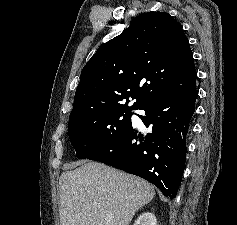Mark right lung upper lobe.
<instances>
[{
    "label": "right lung upper lobe",
    "instance_id": "cb5924a9",
    "mask_svg": "<svg viewBox=\"0 0 237 225\" xmlns=\"http://www.w3.org/2000/svg\"><path fill=\"white\" fill-rule=\"evenodd\" d=\"M196 78L182 26L168 13H144L84 66L69 124L109 111L131 112L158 91L188 87ZM129 98L136 99L131 107Z\"/></svg>",
    "mask_w": 237,
    "mask_h": 225
}]
</instances>
